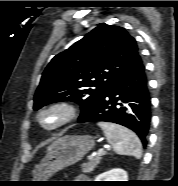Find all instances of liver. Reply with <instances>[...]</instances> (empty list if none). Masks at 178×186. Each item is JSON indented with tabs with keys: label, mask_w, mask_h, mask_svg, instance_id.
<instances>
[{
	"label": "liver",
	"mask_w": 178,
	"mask_h": 186,
	"mask_svg": "<svg viewBox=\"0 0 178 186\" xmlns=\"http://www.w3.org/2000/svg\"><path fill=\"white\" fill-rule=\"evenodd\" d=\"M56 142V141H55ZM55 142L52 144V145H50L49 147H48V150H50L52 147H53V145L55 144Z\"/></svg>",
	"instance_id": "1"
}]
</instances>
